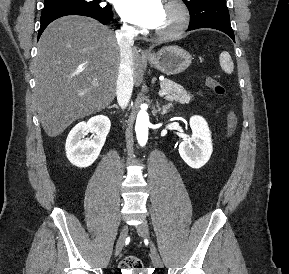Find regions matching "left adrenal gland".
<instances>
[{
  "label": "left adrenal gland",
  "mask_w": 289,
  "mask_h": 274,
  "mask_svg": "<svg viewBox=\"0 0 289 274\" xmlns=\"http://www.w3.org/2000/svg\"><path fill=\"white\" fill-rule=\"evenodd\" d=\"M171 107H172V105L169 103L167 105H163L162 109H161L160 104L157 102V108L159 111H161L162 115L166 114L170 110Z\"/></svg>",
  "instance_id": "obj_1"
}]
</instances>
